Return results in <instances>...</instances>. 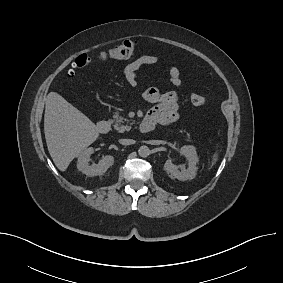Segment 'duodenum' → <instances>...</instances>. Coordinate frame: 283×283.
<instances>
[{"mask_svg": "<svg viewBox=\"0 0 283 283\" xmlns=\"http://www.w3.org/2000/svg\"><path fill=\"white\" fill-rule=\"evenodd\" d=\"M153 127H154L153 124L147 118H145L141 122L139 129L141 132L146 133L152 130ZM110 128H111V124L106 119L100 120L97 123V131L101 134H106L107 132H109Z\"/></svg>", "mask_w": 283, "mask_h": 283, "instance_id": "1", "label": "duodenum"}]
</instances>
